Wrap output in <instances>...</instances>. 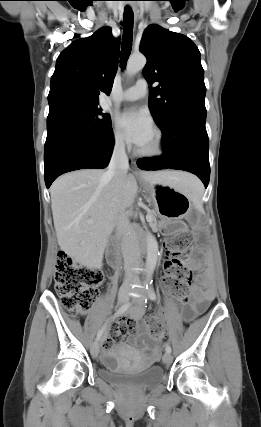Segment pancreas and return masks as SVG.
<instances>
[{
    "mask_svg": "<svg viewBox=\"0 0 261 427\" xmlns=\"http://www.w3.org/2000/svg\"><path fill=\"white\" fill-rule=\"evenodd\" d=\"M148 216H149L148 220H149L151 228L156 229L157 228V220H156L157 214L154 211H149Z\"/></svg>",
    "mask_w": 261,
    "mask_h": 427,
    "instance_id": "cf45deb5",
    "label": "pancreas"
}]
</instances>
